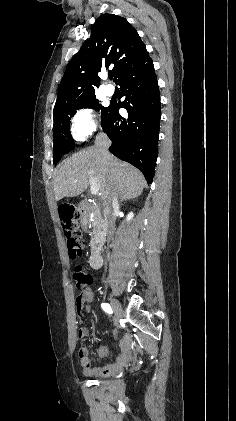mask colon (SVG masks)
I'll list each match as a JSON object with an SVG mask.
<instances>
[{"instance_id":"colon-1","label":"colon","mask_w":236,"mask_h":421,"mask_svg":"<svg viewBox=\"0 0 236 421\" xmlns=\"http://www.w3.org/2000/svg\"><path fill=\"white\" fill-rule=\"evenodd\" d=\"M63 221H64V232L67 238V247L69 255L73 258L77 257L82 252V234L81 230L77 224L70 216L71 212L69 208H65L62 212ZM73 281L76 289L81 293L86 291L92 283V276L89 272L82 266L78 265L73 270ZM85 353L84 348L79 349V356H83Z\"/></svg>"}]
</instances>
